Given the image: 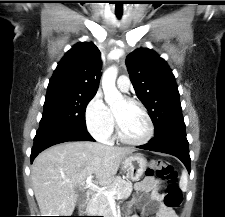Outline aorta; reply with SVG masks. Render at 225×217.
Segmentation results:
<instances>
[{"label":"aorta","instance_id":"762f6f07","mask_svg":"<svg viewBox=\"0 0 225 217\" xmlns=\"http://www.w3.org/2000/svg\"><path fill=\"white\" fill-rule=\"evenodd\" d=\"M118 75V68L111 66L105 70L102 76V88L106 103L113 107L123 101L122 94L116 88L115 82Z\"/></svg>","mask_w":225,"mask_h":217}]
</instances>
